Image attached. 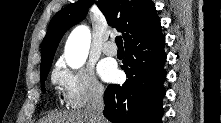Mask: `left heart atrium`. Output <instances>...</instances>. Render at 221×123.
Returning <instances> with one entry per match:
<instances>
[{
  "label": "left heart atrium",
  "mask_w": 221,
  "mask_h": 123,
  "mask_svg": "<svg viewBox=\"0 0 221 123\" xmlns=\"http://www.w3.org/2000/svg\"><path fill=\"white\" fill-rule=\"evenodd\" d=\"M99 74L106 81H114L118 77V71L110 62H102L99 66Z\"/></svg>",
  "instance_id": "39dd6f15"
}]
</instances>
